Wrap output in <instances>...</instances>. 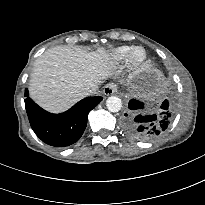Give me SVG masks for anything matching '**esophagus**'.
I'll use <instances>...</instances> for the list:
<instances>
[{
  "label": "esophagus",
  "mask_w": 205,
  "mask_h": 205,
  "mask_svg": "<svg viewBox=\"0 0 205 205\" xmlns=\"http://www.w3.org/2000/svg\"><path fill=\"white\" fill-rule=\"evenodd\" d=\"M116 92V87L112 84H108L104 87L103 93L106 96L112 95Z\"/></svg>",
  "instance_id": "1"
}]
</instances>
